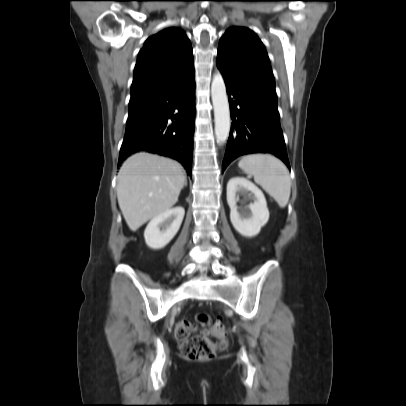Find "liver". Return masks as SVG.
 I'll return each mask as SVG.
<instances>
[{
    "mask_svg": "<svg viewBox=\"0 0 406 406\" xmlns=\"http://www.w3.org/2000/svg\"><path fill=\"white\" fill-rule=\"evenodd\" d=\"M185 180L177 161L146 152L130 156L117 176L118 204L130 230L169 210Z\"/></svg>",
    "mask_w": 406,
    "mask_h": 406,
    "instance_id": "obj_1",
    "label": "liver"
}]
</instances>
